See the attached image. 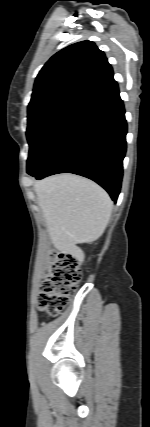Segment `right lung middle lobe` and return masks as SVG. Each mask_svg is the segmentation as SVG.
<instances>
[{"instance_id":"1","label":"right lung middle lobe","mask_w":150,"mask_h":427,"mask_svg":"<svg viewBox=\"0 0 150 427\" xmlns=\"http://www.w3.org/2000/svg\"><path fill=\"white\" fill-rule=\"evenodd\" d=\"M80 108L70 105H52L28 113L27 139L29 157L27 173L32 174L49 151L67 123Z\"/></svg>"}]
</instances>
